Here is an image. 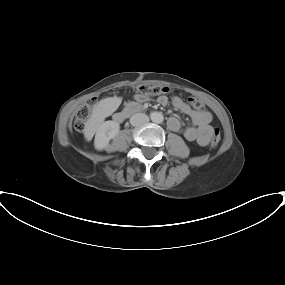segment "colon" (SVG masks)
<instances>
[{"mask_svg": "<svg viewBox=\"0 0 285 285\" xmlns=\"http://www.w3.org/2000/svg\"><path fill=\"white\" fill-rule=\"evenodd\" d=\"M135 92L143 97L158 96L169 92V88L160 85L140 84L134 88ZM190 105L198 110L204 108V103L197 97H190L188 99ZM94 100H90L84 106H82L76 113L74 126L76 130L82 131L85 127V123L90 116L91 108L94 105ZM221 140V131L218 127H212L211 129V146L216 147Z\"/></svg>", "mask_w": 285, "mask_h": 285, "instance_id": "obj_1", "label": "colon"}]
</instances>
